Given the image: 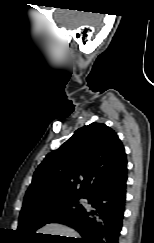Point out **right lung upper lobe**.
Returning <instances> with one entry per match:
<instances>
[{
	"label": "right lung upper lobe",
	"instance_id": "cb5924a9",
	"mask_svg": "<svg viewBox=\"0 0 154 243\" xmlns=\"http://www.w3.org/2000/svg\"><path fill=\"white\" fill-rule=\"evenodd\" d=\"M127 165L117 134L102 123L78 129L36 169L23 206L64 195L86 196Z\"/></svg>",
	"mask_w": 154,
	"mask_h": 243
}]
</instances>
